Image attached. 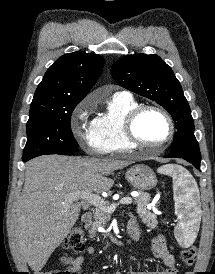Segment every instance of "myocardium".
<instances>
[{
  "label": "myocardium",
  "instance_id": "obj_1",
  "mask_svg": "<svg viewBox=\"0 0 215 274\" xmlns=\"http://www.w3.org/2000/svg\"><path fill=\"white\" fill-rule=\"evenodd\" d=\"M153 110L162 114L168 122L169 125V134L161 142L156 144L146 143L141 140L136 132V123L138 118L146 111ZM123 129L126 139L130 144L135 147L146 148V149H159L166 146L175 135V123L171 115L162 107L151 104H141L133 108L127 113L123 122Z\"/></svg>",
  "mask_w": 215,
  "mask_h": 274
}]
</instances>
